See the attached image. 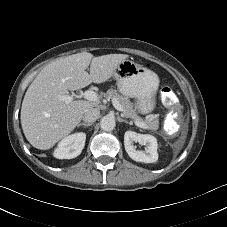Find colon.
Returning a JSON list of instances; mask_svg holds the SVG:
<instances>
[{
  "mask_svg": "<svg viewBox=\"0 0 227 227\" xmlns=\"http://www.w3.org/2000/svg\"><path fill=\"white\" fill-rule=\"evenodd\" d=\"M160 95L163 101L170 105H178L179 100L175 92L170 87H163L160 91Z\"/></svg>",
  "mask_w": 227,
  "mask_h": 227,
  "instance_id": "colon-1",
  "label": "colon"
}]
</instances>
